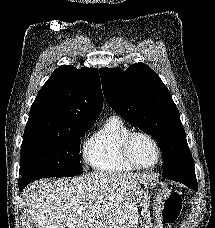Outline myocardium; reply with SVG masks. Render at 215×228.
I'll return each instance as SVG.
<instances>
[{"instance_id": "myocardium-1", "label": "myocardium", "mask_w": 215, "mask_h": 228, "mask_svg": "<svg viewBox=\"0 0 215 228\" xmlns=\"http://www.w3.org/2000/svg\"><path fill=\"white\" fill-rule=\"evenodd\" d=\"M138 136H143L147 138L154 146L156 153H157V158L154 164L148 167H140L136 165L132 159L131 156V146L134 141V139ZM120 153L122 156L123 161L125 164L131 168L132 170H138V171H150L155 169L161 162L162 159V150L160 147L159 142L157 139L151 135L150 133L143 131V130H133L129 132L121 141L120 144Z\"/></svg>"}]
</instances>
